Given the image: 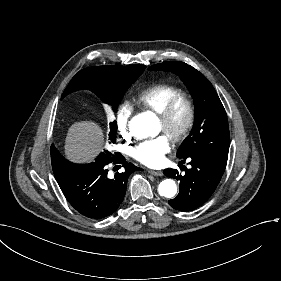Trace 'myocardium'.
<instances>
[{
  "instance_id": "1",
  "label": "myocardium",
  "mask_w": 281,
  "mask_h": 281,
  "mask_svg": "<svg viewBox=\"0 0 281 281\" xmlns=\"http://www.w3.org/2000/svg\"><path fill=\"white\" fill-rule=\"evenodd\" d=\"M183 104L185 108V120L179 129H172L170 126V119L175 110L179 105ZM156 118L162 125V132L172 141H180L184 139L190 132L195 119V110L192 100L185 94L177 95L171 98L161 111L155 113Z\"/></svg>"
}]
</instances>
